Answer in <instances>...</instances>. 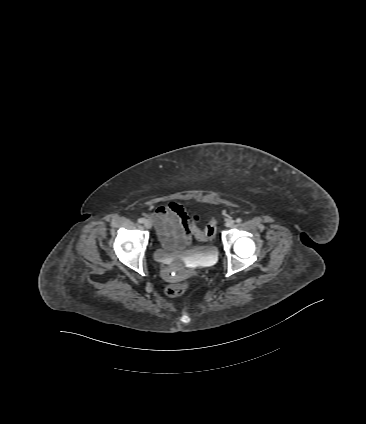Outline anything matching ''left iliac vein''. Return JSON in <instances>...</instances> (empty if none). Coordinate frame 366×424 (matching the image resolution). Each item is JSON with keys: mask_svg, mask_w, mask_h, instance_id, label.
Masks as SVG:
<instances>
[{"mask_svg": "<svg viewBox=\"0 0 366 424\" xmlns=\"http://www.w3.org/2000/svg\"><path fill=\"white\" fill-rule=\"evenodd\" d=\"M226 227H232L234 225V220L228 219L225 223Z\"/></svg>", "mask_w": 366, "mask_h": 424, "instance_id": "left-iliac-vein-1", "label": "left iliac vein"}]
</instances>
